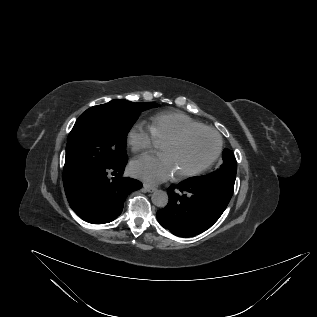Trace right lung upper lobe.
I'll use <instances>...</instances> for the list:
<instances>
[{"instance_id":"1","label":"right lung upper lobe","mask_w":317,"mask_h":317,"mask_svg":"<svg viewBox=\"0 0 317 317\" xmlns=\"http://www.w3.org/2000/svg\"><path fill=\"white\" fill-rule=\"evenodd\" d=\"M72 177V174L68 171L67 162L65 161L64 171H63V180L69 179Z\"/></svg>"}]
</instances>
